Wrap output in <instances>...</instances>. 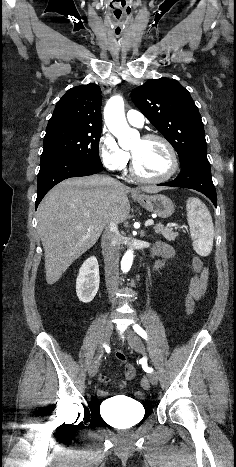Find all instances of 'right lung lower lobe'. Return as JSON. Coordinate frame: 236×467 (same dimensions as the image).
I'll return each instance as SVG.
<instances>
[{
	"instance_id": "obj_1",
	"label": "right lung lower lobe",
	"mask_w": 236,
	"mask_h": 467,
	"mask_svg": "<svg viewBox=\"0 0 236 467\" xmlns=\"http://www.w3.org/2000/svg\"><path fill=\"white\" fill-rule=\"evenodd\" d=\"M103 170L100 165L75 157H56L41 163L38 173L37 199L35 208L45 194L56 184L64 179L76 176H88Z\"/></svg>"
}]
</instances>
